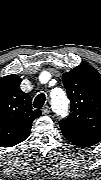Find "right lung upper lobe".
I'll list each match as a JSON object with an SVG mask.
<instances>
[{"label":"right lung upper lobe","mask_w":101,"mask_h":180,"mask_svg":"<svg viewBox=\"0 0 101 180\" xmlns=\"http://www.w3.org/2000/svg\"><path fill=\"white\" fill-rule=\"evenodd\" d=\"M22 79L15 74L0 80V145L12 147L24 141L32 122L41 115L33 110L31 97L21 91Z\"/></svg>","instance_id":"1"}]
</instances>
